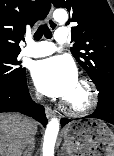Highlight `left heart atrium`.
<instances>
[{
    "label": "left heart atrium",
    "mask_w": 114,
    "mask_h": 156,
    "mask_svg": "<svg viewBox=\"0 0 114 156\" xmlns=\"http://www.w3.org/2000/svg\"><path fill=\"white\" fill-rule=\"evenodd\" d=\"M31 75L44 95L67 99L77 85V69L66 56H54L33 64Z\"/></svg>",
    "instance_id": "39dd6f15"
}]
</instances>
